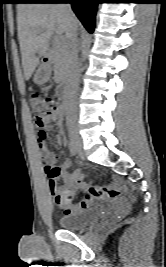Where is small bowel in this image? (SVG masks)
Returning a JSON list of instances; mask_svg holds the SVG:
<instances>
[{
    "mask_svg": "<svg viewBox=\"0 0 166 267\" xmlns=\"http://www.w3.org/2000/svg\"><path fill=\"white\" fill-rule=\"evenodd\" d=\"M57 122L58 126L62 128L63 126V108L58 106L57 109L50 115L46 116L43 119V123L45 129L49 124ZM36 138H37V129L36 125L34 126ZM56 139L58 142L62 140V133L58 132L56 135ZM38 142V139H37ZM40 147V144L38 142ZM41 148V147H40ZM49 162L56 161V156L53 154H49L47 156ZM70 161L64 162L61 166L57 167L58 175L55 178H49L48 185L49 189L55 197V201L57 205L64 211L65 214H72L83 209L89 208L94 201L100 196L103 198L114 199L120 193V184L119 182H115L111 187L103 189L102 186H91V183L88 182L85 177L76 172L69 173L68 170L70 168ZM60 178L65 185V192L73 193L78 189H82L88 192L87 196L81 200L77 204H73L70 200H68L58 189L57 179Z\"/></svg>",
    "mask_w": 166,
    "mask_h": 267,
    "instance_id": "c3829d8e",
    "label": "small bowel"
}]
</instances>
